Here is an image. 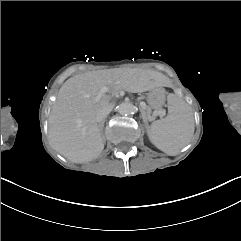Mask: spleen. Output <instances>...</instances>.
<instances>
[{
    "label": "spleen",
    "instance_id": "obj_1",
    "mask_svg": "<svg viewBox=\"0 0 241 241\" xmlns=\"http://www.w3.org/2000/svg\"><path fill=\"white\" fill-rule=\"evenodd\" d=\"M168 101V116L153 122L147 135L157 149L173 156L190 142L194 133V120L187 103L177 95H170Z\"/></svg>",
    "mask_w": 241,
    "mask_h": 241
}]
</instances>
